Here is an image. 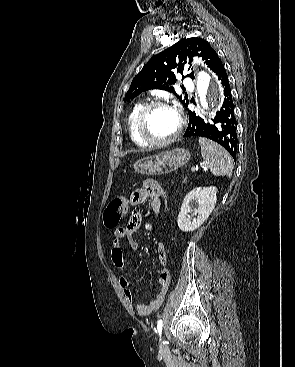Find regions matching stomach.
<instances>
[{
  "label": "stomach",
  "mask_w": 295,
  "mask_h": 367,
  "mask_svg": "<svg viewBox=\"0 0 295 367\" xmlns=\"http://www.w3.org/2000/svg\"><path fill=\"white\" fill-rule=\"evenodd\" d=\"M190 158L188 150L175 148L137 161L134 164V169L141 174L162 175L184 166Z\"/></svg>",
  "instance_id": "stomach-1"
}]
</instances>
